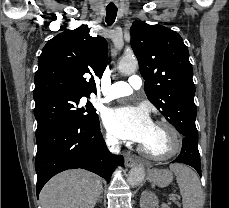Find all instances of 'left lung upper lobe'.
<instances>
[{
	"label": "left lung upper lobe",
	"instance_id": "left-lung-upper-lobe-1",
	"mask_svg": "<svg viewBox=\"0 0 229 208\" xmlns=\"http://www.w3.org/2000/svg\"><path fill=\"white\" fill-rule=\"evenodd\" d=\"M130 33L148 99L183 136L189 128L197 130L193 70L181 36L140 20L133 23Z\"/></svg>",
	"mask_w": 229,
	"mask_h": 208
}]
</instances>
